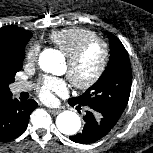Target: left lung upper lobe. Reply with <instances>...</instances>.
<instances>
[{"instance_id":"1","label":"left lung upper lobe","mask_w":153,"mask_h":153,"mask_svg":"<svg viewBox=\"0 0 153 153\" xmlns=\"http://www.w3.org/2000/svg\"><path fill=\"white\" fill-rule=\"evenodd\" d=\"M106 35L110 41V60L106 70L84 94L71 100L117 123L129 100L132 72L128 53L121 41L111 33Z\"/></svg>"}]
</instances>
